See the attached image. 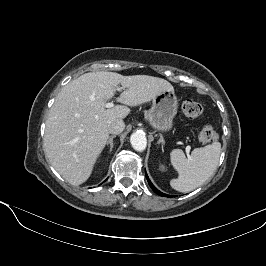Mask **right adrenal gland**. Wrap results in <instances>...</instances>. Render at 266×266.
Instances as JSON below:
<instances>
[{"label":"right adrenal gland","instance_id":"right-adrenal-gland-1","mask_svg":"<svg viewBox=\"0 0 266 266\" xmlns=\"http://www.w3.org/2000/svg\"><path fill=\"white\" fill-rule=\"evenodd\" d=\"M115 137H116V135H112V136H110L109 140L107 141V147L110 146V152H112V149H113V146H114V144H113V139H114Z\"/></svg>","mask_w":266,"mask_h":266}]
</instances>
